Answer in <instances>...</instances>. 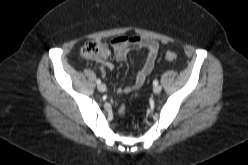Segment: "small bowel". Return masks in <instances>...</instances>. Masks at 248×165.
<instances>
[{"label":"small bowel","instance_id":"c3829d8e","mask_svg":"<svg viewBox=\"0 0 248 165\" xmlns=\"http://www.w3.org/2000/svg\"><path fill=\"white\" fill-rule=\"evenodd\" d=\"M114 57L118 62H124L130 49H144L147 51L146 58L132 84L118 88L119 94H126L142 86L145 79L153 70L155 60L159 53V44L151 39L139 36H119L110 42ZM108 67H111L108 64Z\"/></svg>","mask_w":248,"mask_h":165}]
</instances>
